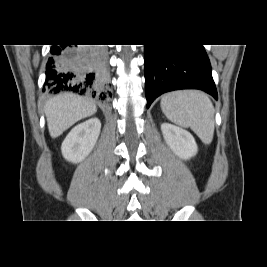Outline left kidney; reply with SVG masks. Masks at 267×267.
Here are the masks:
<instances>
[{
	"label": "left kidney",
	"instance_id": "obj_1",
	"mask_svg": "<svg viewBox=\"0 0 267 267\" xmlns=\"http://www.w3.org/2000/svg\"><path fill=\"white\" fill-rule=\"evenodd\" d=\"M161 131L166 143L178 157L187 160L196 155L198 147L188 131L169 123H163Z\"/></svg>",
	"mask_w": 267,
	"mask_h": 267
}]
</instances>
